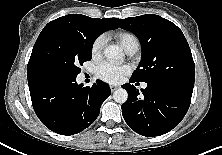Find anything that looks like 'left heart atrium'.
<instances>
[{
	"label": "left heart atrium",
	"mask_w": 222,
	"mask_h": 155,
	"mask_svg": "<svg viewBox=\"0 0 222 155\" xmlns=\"http://www.w3.org/2000/svg\"><path fill=\"white\" fill-rule=\"evenodd\" d=\"M130 71L127 65H115L109 62L102 63L97 68V76L108 83H118Z\"/></svg>",
	"instance_id": "39dd6f15"
}]
</instances>
